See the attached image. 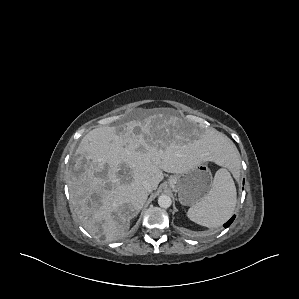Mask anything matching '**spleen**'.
<instances>
[{"label": "spleen", "instance_id": "spleen-1", "mask_svg": "<svg viewBox=\"0 0 299 299\" xmlns=\"http://www.w3.org/2000/svg\"><path fill=\"white\" fill-rule=\"evenodd\" d=\"M236 156V152L232 154ZM236 187L230 172L219 169L207 196L189 208L188 218L205 227L216 228L225 223L236 206Z\"/></svg>", "mask_w": 299, "mask_h": 299}]
</instances>
